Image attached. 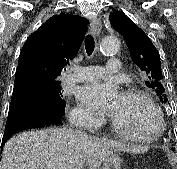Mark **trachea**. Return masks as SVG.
Listing matches in <instances>:
<instances>
[{
  "mask_svg": "<svg viewBox=\"0 0 177 169\" xmlns=\"http://www.w3.org/2000/svg\"><path fill=\"white\" fill-rule=\"evenodd\" d=\"M95 48V42L93 37L89 34L86 36V40H85V49H86V53L90 56L92 55L93 51Z\"/></svg>",
  "mask_w": 177,
  "mask_h": 169,
  "instance_id": "3493384b",
  "label": "trachea"
}]
</instances>
